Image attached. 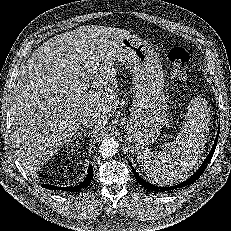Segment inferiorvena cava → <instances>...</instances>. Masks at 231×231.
<instances>
[{
  "instance_id": "602c4592",
  "label": "inferior vena cava",
  "mask_w": 231,
  "mask_h": 231,
  "mask_svg": "<svg viewBox=\"0 0 231 231\" xmlns=\"http://www.w3.org/2000/svg\"><path fill=\"white\" fill-rule=\"evenodd\" d=\"M96 119L94 117H84L81 121V127L86 128V127H91L95 125Z\"/></svg>"
}]
</instances>
